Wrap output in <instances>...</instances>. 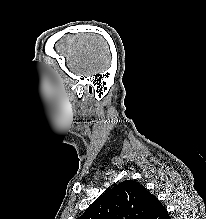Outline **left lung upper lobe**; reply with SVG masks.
I'll list each match as a JSON object with an SVG mask.
<instances>
[{
    "label": "left lung upper lobe",
    "mask_w": 206,
    "mask_h": 219,
    "mask_svg": "<svg viewBox=\"0 0 206 219\" xmlns=\"http://www.w3.org/2000/svg\"><path fill=\"white\" fill-rule=\"evenodd\" d=\"M153 197L140 183L125 180L103 193L77 219H147Z\"/></svg>",
    "instance_id": "1"
}]
</instances>
